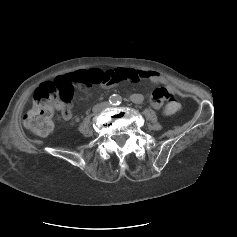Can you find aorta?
<instances>
[{
  "mask_svg": "<svg viewBox=\"0 0 237 237\" xmlns=\"http://www.w3.org/2000/svg\"><path fill=\"white\" fill-rule=\"evenodd\" d=\"M111 102L114 104L119 103V97L117 95H113L111 97Z\"/></svg>",
  "mask_w": 237,
  "mask_h": 237,
  "instance_id": "obj_1",
  "label": "aorta"
}]
</instances>
